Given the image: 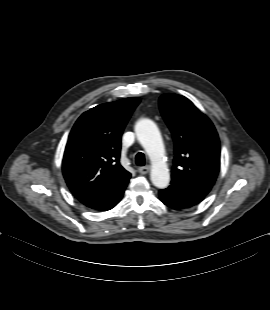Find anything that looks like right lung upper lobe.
Returning a JSON list of instances; mask_svg holds the SVG:
<instances>
[{"instance_id": "cb5924a9", "label": "right lung upper lobe", "mask_w": 270, "mask_h": 310, "mask_svg": "<svg viewBox=\"0 0 270 310\" xmlns=\"http://www.w3.org/2000/svg\"><path fill=\"white\" fill-rule=\"evenodd\" d=\"M137 97L98 105L83 113L73 126L63 157V175L81 202L107 194L131 174L120 164L121 136Z\"/></svg>"}]
</instances>
